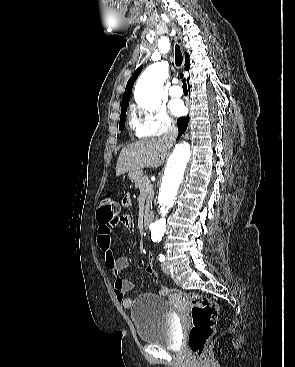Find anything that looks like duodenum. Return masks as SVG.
<instances>
[{"mask_svg":"<svg viewBox=\"0 0 295 367\" xmlns=\"http://www.w3.org/2000/svg\"><path fill=\"white\" fill-rule=\"evenodd\" d=\"M153 215L151 213H146L143 218V226L147 229L152 223Z\"/></svg>","mask_w":295,"mask_h":367,"instance_id":"duodenum-1","label":"duodenum"}]
</instances>
